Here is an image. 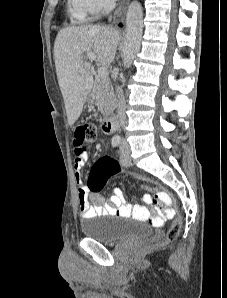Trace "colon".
<instances>
[{"label": "colon", "mask_w": 227, "mask_h": 298, "mask_svg": "<svg viewBox=\"0 0 227 298\" xmlns=\"http://www.w3.org/2000/svg\"><path fill=\"white\" fill-rule=\"evenodd\" d=\"M97 128L93 123H85L77 126L74 130L73 145L81 146L82 142L93 143L97 138ZM90 147H84L88 150ZM119 172V166L110 157H103L97 160L91 168L88 178V188L92 192H100L106 185L108 179ZM143 190L154 193L153 210L155 215L150 218V222L155 226H161L166 218L172 219L164 239L161 244H166L175 240L182 227V218L176 214L171 207L172 199L164 191L160 190V185L154 181L144 182Z\"/></svg>", "instance_id": "colon-1"}]
</instances>
